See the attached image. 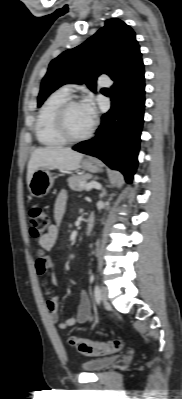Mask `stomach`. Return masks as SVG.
<instances>
[{
	"mask_svg": "<svg viewBox=\"0 0 182 399\" xmlns=\"http://www.w3.org/2000/svg\"><path fill=\"white\" fill-rule=\"evenodd\" d=\"M80 167L91 173L102 171L100 162L91 158L83 160ZM52 169L51 167H41L33 173L28 184L32 196L41 198L49 193L54 183Z\"/></svg>",
	"mask_w": 182,
	"mask_h": 399,
	"instance_id": "0dacf381",
	"label": "stomach"
}]
</instances>
